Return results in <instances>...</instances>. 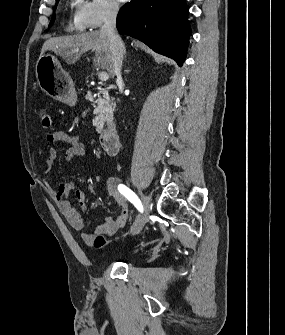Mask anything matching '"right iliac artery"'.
<instances>
[{"label":"right iliac artery","instance_id":"right-iliac-artery-1","mask_svg":"<svg viewBox=\"0 0 285 335\" xmlns=\"http://www.w3.org/2000/svg\"><path fill=\"white\" fill-rule=\"evenodd\" d=\"M119 192L124 195L140 212H143V206L137 195L123 184L118 185Z\"/></svg>","mask_w":285,"mask_h":335}]
</instances>
